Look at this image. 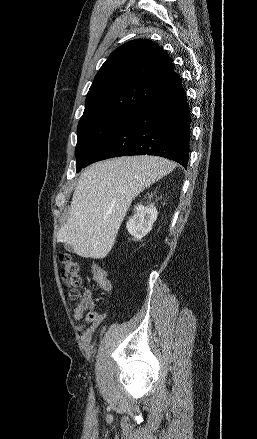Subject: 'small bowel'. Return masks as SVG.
I'll return each instance as SVG.
<instances>
[{"label": "small bowel", "mask_w": 257, "mask_h": 439, "mask_svg": "<svg viewBox=\"0 0 257 439\" xmlns=\"http://www.w3.org/2000/svg\"><path fill=\"white\" fill-rule=\"evenodd\" d=\"M84 301L85 308L77 307L74 310V317L77 320L81 319L85 310H87V313L85 315V324L80 325L78 329L82 334V340L88 343L91 339L92 331L104 320L105 317L95 310V302L90 291H87L85 293Z\"/></svg>", "instance_id": "c3829d8e"}]
</instances>
